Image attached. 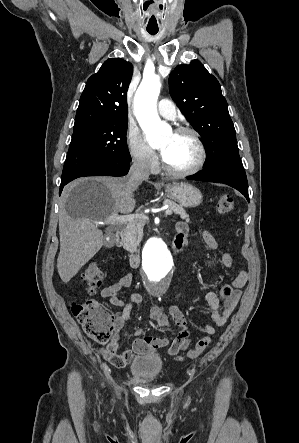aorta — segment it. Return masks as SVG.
<instances>
[{"label": "aorta", "mask_w": 299, "mask_h": 443, "mask_svg": "<svg viewBox=\"0 0 299 443\" xmlns=\"http://www.w3.org/2000/svg\"><path fill=\"white\" fill-rule=\"evenodd\" d=\"M161 83L157 75L144 77L134 97V114L149 144H160L170 132L168 124L161 121L156 108ZM143 270L150 281V290L160 295L163 280L173 267V257L160 237H151L143 251Z\"/></svg>", "instance_id": "aorta-1"}]
</instances>
